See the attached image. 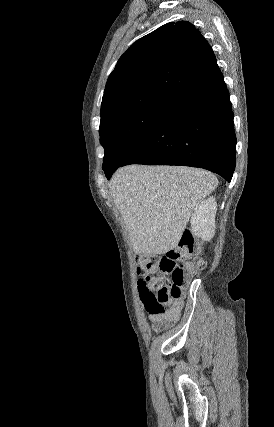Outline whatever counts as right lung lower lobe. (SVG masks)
<instances>
[{"label":"right lung lower lobe","instance_id":"98d812e1","mask_svg":"<svg viewBox=\"0 0 274 427\" xmlns=\"http://www.w3.org/2000/svg\"><path fill=\"white\" fill-rule=\"evenodd\" d=\"M235 148L233 112L220 72L176 98L126 160L102 168L109 179L127 164L184 165L210 170L230 182Z\"/></svg>","mask_w":274,"mask_h":427}]
</instances>
